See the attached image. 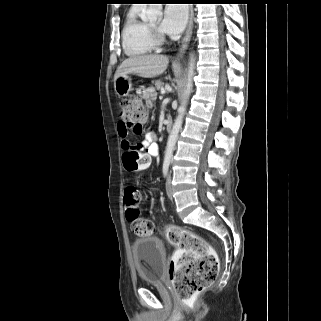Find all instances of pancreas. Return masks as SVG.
<instances>
[{
    "mask_svg": "<svg viewBox=\"0 0 321 321\" xmlns=\"http://www.w3.org/2000/svg\"><path fill=\"white\" fill-rule=\"evenodd\" d=\"M154 85L157 90H161L164 87V83L162 82V80H156L154 82Z\"/></svg>",
    "mask_w": 321,
    "mask_h": 321,
    "instance_id": "cf45deb5",
    "label": "pancreas"
}]
</instances>
